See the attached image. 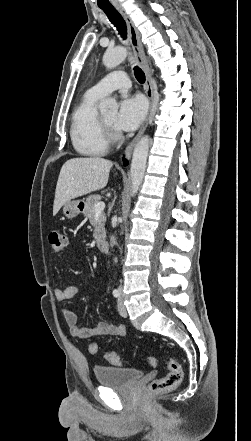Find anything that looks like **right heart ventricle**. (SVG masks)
<instances>
[{"label": "right heart ventricle", "mask_w": 251, "mask_h": 441, "mask_svg": "<svg viewBox=\"0 0 251 441\" xmlns=\"http://www.w3.org/2000/svg\"><path fill=\"white\" fill-rule=\"evenodd\" d=\"M102 97L89 89L72 114L70 137L80 155L100 156L108 150L109 141L104 135L97 109Z\"/></svg>", "instance_id": "1"}]
</instances>
